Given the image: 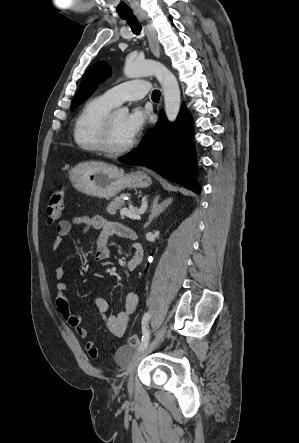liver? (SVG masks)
Segmentation results:
<instances>
[{
  "label": "liver",
  "instance_id": "1",
  "mask_svg": "<svg viewBox=\"0 0 299 443\" xmlns=\"http://www.w3.org/2000/svg\"><path fill=\"white\" fill-rule=\"evenodd\" d=\"M93 163H95V164H102V163H100V162H93Z\"/></svg>",
  "mask_w": 299,
  "mask_h": 443
}]
</instances>
